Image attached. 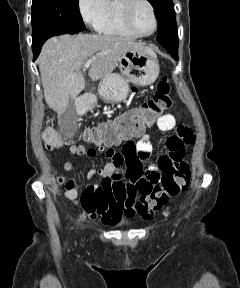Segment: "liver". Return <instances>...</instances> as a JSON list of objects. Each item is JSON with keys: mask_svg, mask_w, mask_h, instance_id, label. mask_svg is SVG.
Listing matches in <instances>:
<instances>
[{"mask_svg": "<svg viewBox=\"0 0 240 288\" xmlns=\"http://www.w3.org/2000/svg\"><path fill=\"white\" fill-rule=\"evenodd\" d=\"M131 49L154 54L143 43L118 36L79 34L74 37L66 34L47 40L38 58L47 105L63 114L70 100L76 99L85 88L81 74L85 62L92 60L89 76L97 81L111 74L121 55Z\"/></svg>", "mask_w": 240, "mask_h": 288, "instance_id": "1", "label": "liver"}]
</instances>
